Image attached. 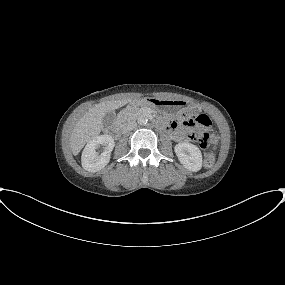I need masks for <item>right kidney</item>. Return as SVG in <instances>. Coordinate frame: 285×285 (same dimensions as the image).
I'll use <instances>...</instances> for the list:
<instances>
[{
  "label": "right kidney",
  "mask_w": 285,
  "mask_h": 285,
  "mask_svg": "<svg viewBox=\"0 0 285 285\" xmlns=\"http://www.w3.org/2000/svg\"><path fill=\"white\" fill-rule=\"evenodd\" d=\"M102 146L103 152L96 150ZM115 146L114 139L109 135H100L92 139L85 146L81 162L82 167L89 172H97L104 168L110 161V154Z\"/></svg>",
  "instance_id": "right-kidney-1"
}]
</instances>
